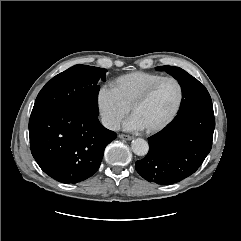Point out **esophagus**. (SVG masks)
I'll list each match as a JSON object with an SVG mask.
<instances>
[{"instance_id":"34e87169","label":"esophagus","mask_w":241,"mask_h":241,"mask_svg":"<svg viewBox=\"0 0 241 241\" xmlns=\"http://www.w3.org/2000/svg\"><path fill=\"white\" fill-rule=\"evenodd\" d=\"M119 138L125 139V140H132L134 137L126 134H119Z\"/></svg>"}]
</instances>
